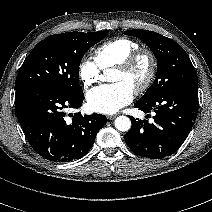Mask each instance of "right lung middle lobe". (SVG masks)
Here are the masks:
<instances>
[{
    "label": "right lung middle lobe",
    "instance_id": "dd1d6c3e",
    "mask_svg": "<svg viewBox=\"0 0 212 212\" xmlns=\"http://www.w3.org/2000/svg\"><path fill=\"white\" fill-rule=\"evenodd\" d=\"M108 31L68 32L40 41L25 59L15 89L50 87L69 96H81L79 66L86 51L102 40Z\"/></svg>",
    "mask_w": 212,
    "mask_h": 212
}]
</instances>
